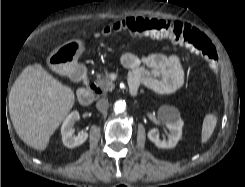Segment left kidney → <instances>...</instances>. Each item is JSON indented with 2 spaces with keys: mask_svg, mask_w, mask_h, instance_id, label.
Segmentation results:
<instances>
[{
  "mask_svg": "<svg viewBox=\"0 0 245 187\" xmlns=\"http://www.w3.org/2000/svg\"><path fill=\"white\" fill-rule=\"evenodd\" d=\"M158 119L170 130L169 138L161 139L156 128L149 130L148 138L159 148H174L181 138L183 127L178 109L167 105L161 106L158 110Z\"/></svg>",
  "mask_w": 245,
  "mask_h": 187,
  "instance_id": "obj_1",
  "label": "left kidney"
}]
</instances>
